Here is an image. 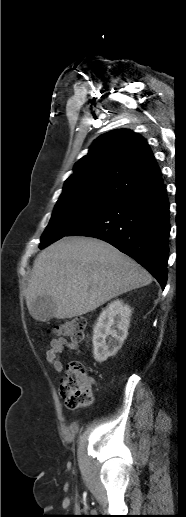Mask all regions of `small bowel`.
Returning a JSON list of instances; mask_svg holds the SVG:
<instances>
[{"instance_id": "obj_1", "label": "small bowel", "mask_w": 186, "mask_h": 517, "mask_svg": "<svg viewBox=\"0 0 186 517\" xmlns=\"http://www.w3.org/2000/svg\"><path fill=\"white\" fill-rule=\"evenodd\" d=\"M65 348H69L77 354H81L78 345L74 342H68L64 338L52 339L45 352L46 360L56 372H61L63 369V363L60 359V355Z\"/></svg>"}]
</instances>
